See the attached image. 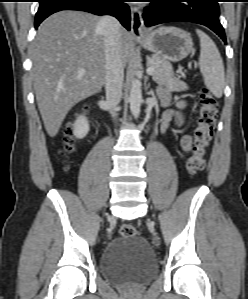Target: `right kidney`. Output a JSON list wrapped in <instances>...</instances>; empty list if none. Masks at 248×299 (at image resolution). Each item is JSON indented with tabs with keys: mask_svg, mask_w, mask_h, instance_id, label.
<instances>
[{
	"mask_svg": "<svg viewBox=\"0 0 248 299\" xmlns=\"http://www.w3.org/2000/svg\"><path fill=\"white\" fill-rule=\"evenodd\" d=\"M89 129L90 127L87 118L82 115L78 116L73 127V134L77 138L82 139L88 134Z\"/></svg>",
	"mask_w": 248,
	"mask_h": 299,
	"instance_id": "obj_1",
	"label": "right kidney"
}]
</instances>
